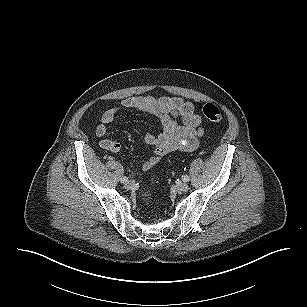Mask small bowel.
<instances>
[{
    "label": "small bowel",
    "instance_id": "obj_1",
    "mask_svg": "<svg viewBox=\"0 0 307 307\" xmlns=\"http://www.w3.org/2000/svg\"><path fill=\"white\" fill-rule=\"evenodd\" d=\"M123 109H134L155 116L161 125L158 133H147L145 142L152 146V155L141 164V170H149L167 154L174 151H193L198 147V140L203 135L201 117L195 113L191 102L181 97L134 96L125 98L119 107L105 111L99 120L95 134L102 138L100 146L110 153H118L121 146L118 141L104 138L108 125L115 120ZM180 118L182 124L177 123Z\"/></svg>",
    "mask_w": 307,
    "mask_h": 307
}]
</instances>
